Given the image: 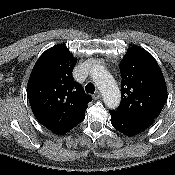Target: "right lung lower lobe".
Returning a JSON list of instances; mask_svg holds the SVG:
<instances>
[{
  "label": "right lung lower lobe",
  "instance_id": "98d812e1",
  "mask_svg": "<svg viewBox=\"0 0 175 175\" xmlns=\"http://www.w3.org/2000/svg\"><path fill=\"white\" fill-rule=\"evenodd\" d=\"M67 132H68V131H66V132H62V133H57V134H62V135H63V134H65V133H67Z\"/></svg>",
  "mask_w": 175,
  "mask_h": 175
}]
</instances>
